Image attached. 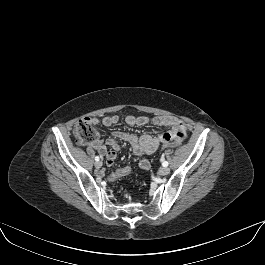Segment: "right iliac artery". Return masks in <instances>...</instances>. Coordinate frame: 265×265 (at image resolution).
Instances as JSON below:
<instances>
[{
  "instance_id": "obj_1",
  "label": "right iliac artery",
  "mask_w": 265,
  "mask_h": 265,
  "mask_svg": "<svg viewBox=\"0 0 265 265\" xmlns=\"http://www.w3.org/2000/svg\"><path fill=\"white\" fill-rule=\"evenodd\" d=\"M95 160H96V161H99V157H98V156H96V157H95Z\"/></svg>"
}]
</instances>
